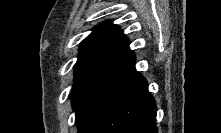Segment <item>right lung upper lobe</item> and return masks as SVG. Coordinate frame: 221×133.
<instances>
[{
    "label": "right lung upper lobe",
    "instance_id": "cb5924a9",
    "mask_svg": "<svg viewBox=\"0 0 221 133\" xmlns=\"http://www.w3.org/2000/svg\"><path fill=\"white\" fill-rule=\"evenodd\" d=\"M135 58L129 41L116 25L104 22L81 43L75 74H102L109 69Z\"/></svg>",
    "mask_w": 221,
    "mask_h": 133
}]
</instances>
